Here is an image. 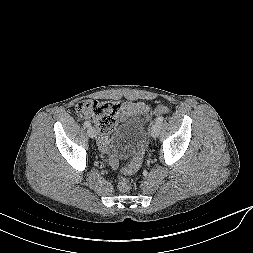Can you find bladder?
Wrapping results in <instances>:
<instances>
[{
	"label": "bladder",
	"mask_w": 253,
	"mask_h": 253,
	"mask_svg": "<svg viewBox=\"0 0 253 253\" xmlns=\"http://www.w3.org/2000/svg\"><path fill=\"white\" fill-rule=\"evenodd\" d=\"M145 128V122L138 114L124 113L119 124L113 129L111 139L121 143L127 154L139 144Z\"/></svg>",
	"instance_id": "bladder-1"
}]
</instances>
